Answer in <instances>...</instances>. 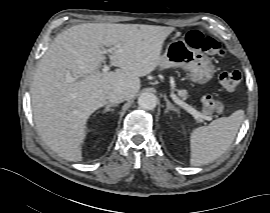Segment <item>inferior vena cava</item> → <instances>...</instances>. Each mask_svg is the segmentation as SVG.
I'll use <instances>...</instances> for the list:
<instances>
[{
    "instance_id": "obj_1",
    "label": "inferior vena cava",
    "mask_w": 270,
    "mask_h": 213,
    "mask_svg": "<svg viewBox=\"0 0 270 213\" xmlns=\"http://www.w3.org/2000/svg\"><path fill=\"white\" fill-rule=\"evenodd\" d=\"M126 99H127V96L125 92L119 89L110 92L108 95V102L111 103L112 105L121 103Z\"/></svg>"
}]
</instances>
